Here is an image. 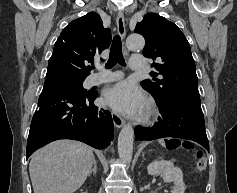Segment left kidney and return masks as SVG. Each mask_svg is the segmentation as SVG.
Segmentation results:
<instances>
[{
    "label": "left kidney",
    "instance_id": "obj_1",
    "mask_svg": "<svg viewBox=\"0 0 237 193\" xmlns=\"http://www.w3.org/2000/svg\"><path fill=\"white\" fill-rule=\"evenodd\" d=\"M148 174H161L166 182H173L174 187L171 193H184L185 184L183 173L180 168L175 167L172 162L167 160H155L147 166Z\"/></svg>",
    "mask_w": 237,
    "mask_h": 193
}]
</instances>
